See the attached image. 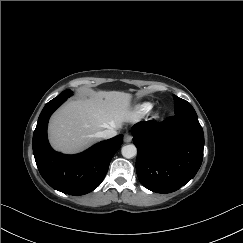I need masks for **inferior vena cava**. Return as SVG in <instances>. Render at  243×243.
<instances>
[{
	"label": "inferior vena cava",
	"mask_w": 243,
	"mask_h": 243,
	"mask_svg": "<svg viewBox=\"0 0 243 243\" xmlns=\"http://www.w3.org/2000/svg\"><path fill=\"white\" fill-rule=\"evenodd\" d=\"M117 135V131L115 128H109L105 129L101 132H98L97 136L104 138V139H109Z\"/></svg>",
	"instance_id": "1"
}]
</instances>
